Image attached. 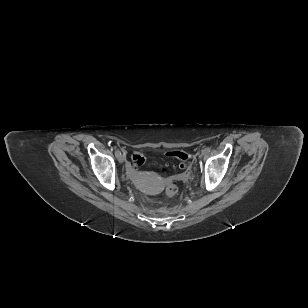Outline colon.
I'll return each instance as SVG.
<instances>
[{"label":"colon","instance_id":"obj_1","mask_svg":"<svg viewBox=\"0 0 308 308\" xmlns=\"http://www.w3.org/2000/svg\"><path fill=\"white\" fill-rule=\"evenodd\" d=\"M168 155L180 160V167H184L188 161V155L183 151H170ZM132 161L135 165H142L145 161L144 156L141 153H135L132 156ZM166 194L172 197L178 192V185L175 181H168L166 185Z\"/></svg>","mask_w":308,"mask_h":308}]
</instances>
